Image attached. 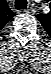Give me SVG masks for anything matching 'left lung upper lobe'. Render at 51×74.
I'll use <instances>...</instances> for the list:
<instances>
[{"instance_id": "left-lung-upper-lobe-1", "label": "left lung upper lobe", "mask_w": 51, "mask_h": 74, "mask_svg": "<svg viewBox=\"0 0 51 74\" xmlns=\"http://www.w3.org/2000/svg\"><path fill=\"white\" fill-rule=\"evenodd\" d=\"M39 21L42 23V25L44 26V18H46V16L44 14H39L36 16Z\"/></svg>"}]
</instances>
